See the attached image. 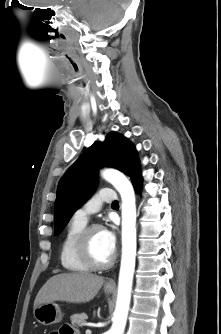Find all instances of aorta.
<instances>
[{
    "instance_id": "1",
    "label": "aorta",
    "mask_w": 221,
    "mask_h": 334,
    "mask_svg": "<svg viewBox=\"0 0 221 334\" xmlns=\"http://www.w3.org/2000/svg\"><path fill=\"white\" fill-rule=\"evenodd\" d=\"M102 177L120 193L122 200V257L116 307L109 334H123L130 307L136 257V204L132 184L124 174L106 169Z\"/></svg>"
}]
</instances>
